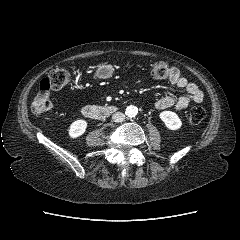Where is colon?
I'll list each match as a JSON object with an SVG mask.
<instances>
[{"label": "colon", "instance_id": "colon-1", "mask_svg": "<svg viewBox=\"0 0 240 240\" xmlns=\"http://www.w3.org/2000/svg\"><path fill=\"white\" fill-rule=\"evenodd\" d=\"M170 68L164 61H156L152 64L150 74L154 79L164 80L168 78ZM71 80L70 72L63 67L53 68L47 77L40 83L38 94L32 103V111L35 115L42 116L53 108L52 92L61 89L69 84ZM205 109L202 106L194 108L187 117L189 125H197L203 121Z\"/></svg>", "mask_w": 240, "mask_h": 240}]
</instances>
